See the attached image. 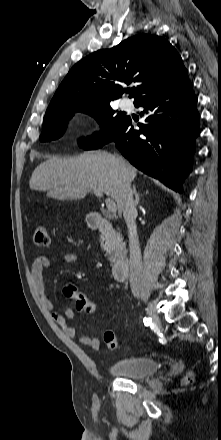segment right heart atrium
Here are the masks:
<instances>
[{"mask_svg":"<svg viewBox=\"0 0 221 440\" xmlns=\"http://www.w3.org/2000/svg\"><path fill=\"white\" fill-rule=\"evenodd\" d=\"M92 127L97 129L99 127V121L97 119L92 120Z\"/></svg>","mask_w":221,"mask_h":440,"instance_id":"obj_1","label":"right heart atrium"}]
</instances>
